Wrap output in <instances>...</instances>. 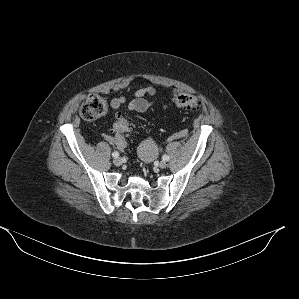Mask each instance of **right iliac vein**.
Returning a JSON list of instances; mask_svg holds the SVG:
<instances>
[{
    "instance_id": "right-iliac-vein-1",
    "label": "right iliac vein",
    "mask_w": 299,
    "mask_h": 299,
    "mask_svg": "<svg viewBox=\"0 0 299 299\" xmlns=\"http://www.w3.org/2000/svg\"><path fill=\"white\" fill-rule=\"evenodd\" d=\"M113 163L116 166H120L122 164V159L120 157H116V158H114Z\"/></svg>"
}]
</instances>
